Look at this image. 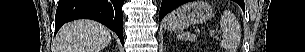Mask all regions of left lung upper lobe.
I'll use <instances>...</instances> for the list:
<instances>
[{
  "label": "left lung upper lobe",
  "mask_w": 305,
  "mask_h": 52,
  "mask_svg": "<svg viewBox=\"0 0 305 52\" xmlns=\"http://www.w3.org/2000/svg\"><path fill=\"white\" fill-rule=\"evenodd\" d=\"M240 6H243V3L241 1H236Z\"/></svg>",
  "instance_id": "1"
}]
</instances>
